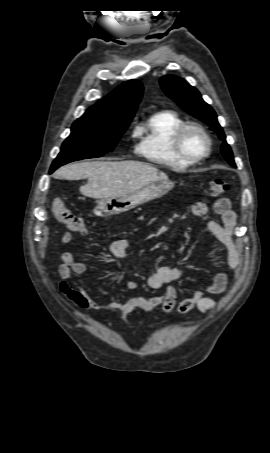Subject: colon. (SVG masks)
I'll list each match as a JSON object with an SVG mask.
<instances>
[{"label":"colon","instance_id":"obj_1","mask_svg":"<svg viewBox=\"0 0 270 453\" xmlns=\"http://www.w3.org/2000/svg\"><path fill=\"white\" fill-rule=\"evenodd\" d=\"M229 190V184L222 180L212 181L210 184V194L220 196ZM52 211L58 221L64 224L70 231L86 234L87 224L83 217L73 213L65 202L56 198L52 202Z\"/></svg>","mask_w":270,"mask_h":453}]
</instances>
